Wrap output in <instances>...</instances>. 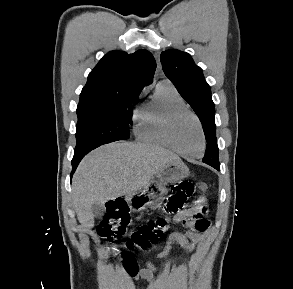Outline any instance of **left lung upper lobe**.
<instances>
[{
  "instance_id": "obj_1",
  "label": "left lung upper lobe",
  "mask_w": 293,
  "mask_h": 289,
  "mask_svg": "<svg viewBox=\"0 0 293 289\" xmlns=\"http://www.w3.org/2000/svg\"><path fill=\"white\" fill-rule=\"evenodd\" d=\"M160 60L167 78L199 117L206 141L212 140L215 143L212 148L206 149L203 162L210 166L219 165L214 119L215 108L210 86L204 79L202 69L194 63L188 53L175 49L162 52Z\"/></svg>"
}]
</instances>
